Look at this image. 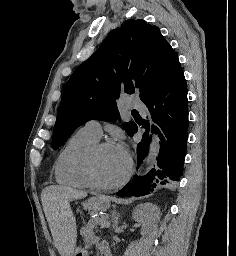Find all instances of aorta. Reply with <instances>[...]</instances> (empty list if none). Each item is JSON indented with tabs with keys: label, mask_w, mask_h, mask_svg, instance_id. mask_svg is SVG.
Returning a JSON list of instances; mask_svg holds the SVG:
<instances>
[{
	"label": "aorta",
	"mask_w": 236,
	"mask_h": 256,
	"mask_svg": "<svg viewBox=\"0 0 236 256\" xmlns=\"http://www.w3.org/2000/svg\"><path fill=\"white\" fill-rule=\"evenodd\" d=\"M160 139L158 134H154L152 135V140L150 143V147H149V153L145 159V169L146 170H150L154 163L155 160L157 158V156L159 155V151H160V143H159Z\"/></svg>",
	"instance_id": "762f6f07"
}]
</instances>
